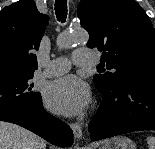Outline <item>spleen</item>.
I'll use <instances>...</instances> for the list:
<instances>
[{
  "instance_id": "obj_1",
  "label": "spleen",
  "mask_w": 155,
  "mask_h": 149,
  "mask_svg": "<svg viewBox=\"0 0 155 149\" xmlns=\"http://www.w3.org/2000/svg\"><path fill=\"white\" fill-rule=\"evenodd\" d=\"M146 141L148 143L149 149H155V137L154 136L147 137Z\"/></svg>"
}]
</instances>
